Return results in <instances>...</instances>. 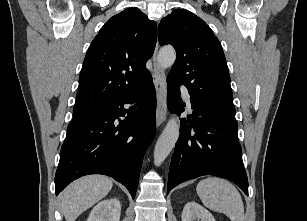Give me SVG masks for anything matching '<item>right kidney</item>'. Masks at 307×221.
Segmentation results:
<instances>
[{
  "label": "right kidney",
  "mask_w": 307,
  "mask_h": 221,
  "mask_svg": "<svg viewBox=\"0 0 307 221\" xmlns=\"http://www.w3.org/2000/svg\"><path fill=\"white\" fill-rule=\"evenodd\" d=\"M121 204L116 198L99 202L91 211L87 221H120Z\"/></svg>",
  "instance_id": "obj_1"
}]
</instances>
